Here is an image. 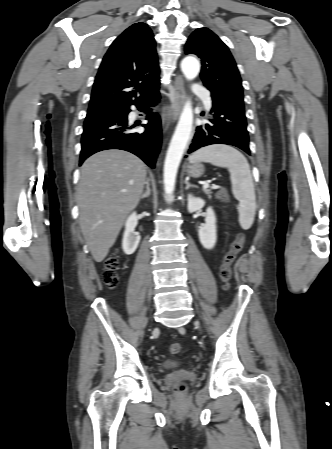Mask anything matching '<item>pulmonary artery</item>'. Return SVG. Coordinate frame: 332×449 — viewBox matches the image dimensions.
Returning <instances> with one entry per match:
<instances>
[{"instance_id":"e3ab8cb5","label":"pulmonary artery","mask_w":332,"mask_h":449,"mask_svg":"<svg viewBox=\"0 0 332 449\" xmlns=\"http://www.w3.org/2000/svg\"><path fill=\"white\" fill-rule=\"evenodd\" d=\"M193 92L200 96L203 99L204 105L206 109H210L211 108V100L209 97V92L207 89H205L204 87L201 86H194L193 87Z\"/></svg>"}]
</instances>
